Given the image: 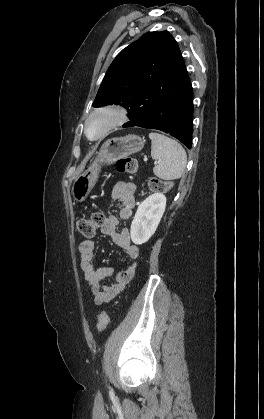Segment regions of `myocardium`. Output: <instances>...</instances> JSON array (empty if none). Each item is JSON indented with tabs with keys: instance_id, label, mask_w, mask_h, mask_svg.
Masks as SVG:
<instances>
[{
	"instance_id": "obj_1",
	"label": "myocardium",
	"mask_w": 264,
	"mask_h": 419,
	"mask_svg": "<svg viewBox=\"0 0 264 419\" xmlns=\"http://www.w3.org/2000/svg\"><path fill=\"white\" fill-rule=\"evenodd\" d=\"M97 117L105 119V124L101 132L96 137H90L88 127L91 121ZM128 120V112L124 106L117 103L106 104L95 108L86 118L84 123V134L90 141L104 139L109 133L122 126Z\"/></svg>"
}]
</instances>
